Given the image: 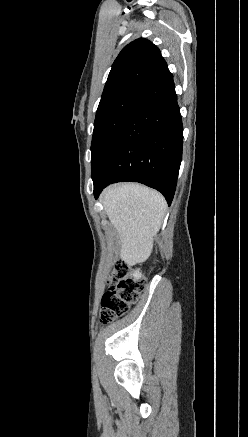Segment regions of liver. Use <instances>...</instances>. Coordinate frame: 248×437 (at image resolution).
Returning a JSON list of instances; mask_svg holds the SVG:
<instances>
[{
    "instance_id": "6515ba94",
    "label": "liver",
    "mask_w": 248,
    "mask_h": 437,
    "mask_svg": "<svg viewBox=\"0 0 248 437\" xmlns=\"http://www.w3.org/2000/svg\"><path fill=\"white\" fill-rule=\"evenodd\" d=\"M101 201L120 235L121 259L128 264L145 261L165 215L164 197L140 184H116L103 191Z\"/></svg>"
}]
</instances>
